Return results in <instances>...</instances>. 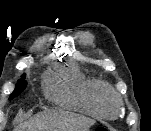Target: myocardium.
Segmentation results:
<instances>
[{"mask_svg":"<svg viewBox=\"0 0 151 131\" xmlns=\"http://www.w3.org/2000/svg\"><path fill=\"white\" fill-rule=\"evenodd\" d=\"M99 104L104 116L115 117L119 113L123 102L120 94L107 86L100 96Z\"/></svg>","mask_w":151,"mask_h":131,"instance_id":"f54148a6","label":"myocardium"}]
</instances>
